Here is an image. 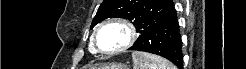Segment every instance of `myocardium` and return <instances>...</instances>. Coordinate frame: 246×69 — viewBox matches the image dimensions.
I'll return each instance as SVG.
<instances>
[{
	"label": "myocardium",
	"mask_w": 246,
	"mask_h": 69,
	"mask_svg": "<svg viewBox=\"0 0 246 69\" xmlns=\"http://www.w3.org/2000/svg\"><path fill=\"white\" fill-rule=\"evenodd\" d=\"M111 24L119 25V26L123 27L127 32V38L124 41V43H122L120 46H118L114 50L103 51V50H101V48L99 46L97 37H98L99 32L104 27L111 25ZM135 39H136V31H135L134 25L129 20L124 19V18H120V17H113V18H109V19L105 20L95 29V31L93 33V43L95 44L96 48L98 49L99 53H101V54H114V53H118V52H121L123 50H126L134 43Z\"/></svg>",
	"instance_id": "1"
}]
</instances>
